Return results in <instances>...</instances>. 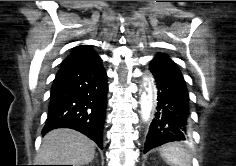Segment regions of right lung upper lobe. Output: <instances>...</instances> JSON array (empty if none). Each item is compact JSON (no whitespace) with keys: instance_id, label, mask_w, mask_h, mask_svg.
Wrapping results in <instances>:
<instances>
[{"instance_id":"1","label":"right lung upper lobe","mask_w":236,"mask_h":166,"mask_svg":"<svg viewBox=\"0 0 236 166\" xmlns=\"http://www.w3.org/2000/svg\"><path fill=\"white\" fill-rule=\"evenodd\" d=\"M101 60L89 45H79L73 48L71 54L62 62L61 68L85 66Z\"/></svg>"}]
</instances>
